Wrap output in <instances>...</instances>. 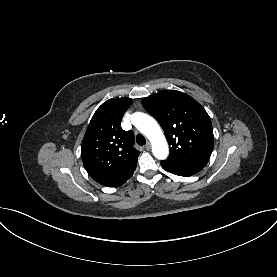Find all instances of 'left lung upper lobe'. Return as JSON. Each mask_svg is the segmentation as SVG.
<instances>
[{"label": "left lung upper lobe", "mask_w": 277, "mask_h": 277, "mask_svg": "<svg viewBox=\"0 0 277 277\" xmlns=\"http://www.w3.org/2000/svg\"><path fill=\"white\" fill-rule=\"evenodd\" d=\"M143 107L162 126L170 145L164 164L205 167L214 146L209 115L191 96L161 90L142 100Z\"/></svg>", "instance_id": "left-lung-upper-lobe-1"}]
</instances>
